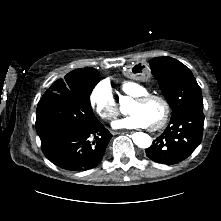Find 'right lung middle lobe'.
Listing matches in <instances>:
<instances>
[{"instance_id":"1","label":"right lung middle lobe","mask_w":221,"mask_h":221,"mask_svg":"<svg viewBox=\"0 0 221 221\" xmlns=\"http://www.w3.org/2000/svg\"><path fill=\"white\" fill-rule=\"evenodd\" d=\"M99 81L94 71L71 79H59L42 96L36 110V131L41 143L78 128H87L98 120L89 96Z\"/></svg>"}]
</instances>
